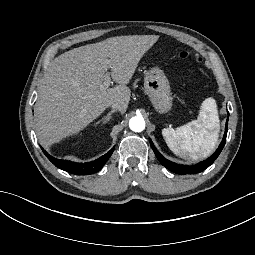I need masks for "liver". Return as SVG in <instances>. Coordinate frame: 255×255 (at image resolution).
Masks as SVG:
<instances>
[{"label":"liver","mask_w":255,"mask_h":255,"mask_svg":"<svg viewBox=\"0 0 255 255\" xmlns=\"http://www.w3.org/2000/svg\"><path fill=\"white\" fill-rule=\"evenodd\" d=\"M158 39L157 35L109 38L70 50L51 62L35 107L41 143L51 146L77 136L114 102L125 114L131 98L127 85ZM107 76L118 84L115 88H100Z\"/></svg>","instance_id":"obj_1"}]
</instances>
